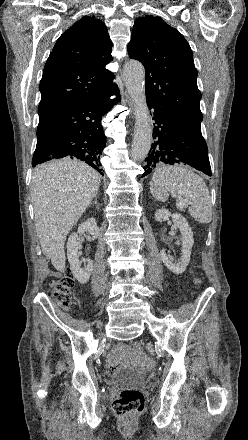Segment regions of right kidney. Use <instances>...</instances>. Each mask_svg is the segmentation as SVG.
Wrapping results in <instances>:
<instances>
[{
  "label": "right kidney",
  "instance_id": "obj_1",
  "mask_svg": "<svg viewBox=\"0 0 248 440\" xmlns=\"http://www.w3.org/2000/svg\"><path fill=\"white\" fill-rule=\"evenodd\" d=\"M89 233L93 238H97L99 235V228L97 226L96 220L91 217L84 223H82L77 230V233H72L67 242V257L70 263V269L74 277L78 280L80 284H86L91 276L93 270V262L88 259L85 260L87 265L85 268H81V263L79 262L80 252V241L78 234Z\"/></svg>",
  "mask_w": 248,
  "mask_h": 440
}]
</instances>
